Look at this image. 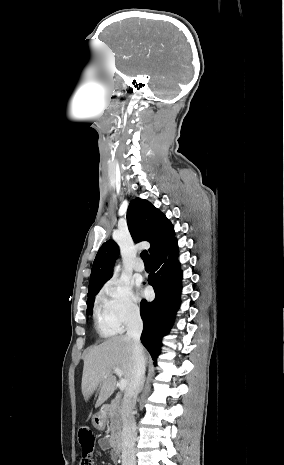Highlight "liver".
Returning a JSON list of instances; mask_svg holds the SVG:
<instances>
[{"instance_id":"1","label":"liver","mask_w":284,"mask_h":465,"mask_svg":"<svg viewBox=\"0 0 284 465\" xmlns=\"http://www.w3.org/2000/svg\"><path fill=\"white\" fill-rule=\"evenodd\" d=\"M132 347V339L126 335H120V337H111L108 341L90 349L89 353L85 355L81 383L85 401H88L97 389H100V393L95 407H100L104 401L111 397L116 387V377L113 371L116 367L121 369L128 387L133 371ZM144 355L147 359L146 353Z\"/></svg>"}]
</instances>
